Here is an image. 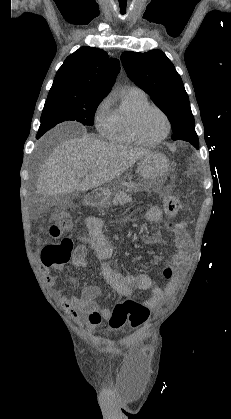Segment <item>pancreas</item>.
Here are the masks:
<instances>
[{"mask_svg":"<svg viewBox=\"0 0 231 419\" xmlns=\"http://www.w3.org/2000/svg\"><path fill=\"white\" fill-rule=\"evenodd\" d=\"M133 186L134 185L132 183L120 182L119 187L116 189L114 199L112 202H108L107 206L117 205L118 203L124 205L126 203L132 202L131 195L127 193H131Z\"/></svg>","mask_w":231,"mask_h":419,"instance_id":"1","label":"pancreas"}]
</instances>
